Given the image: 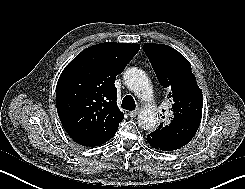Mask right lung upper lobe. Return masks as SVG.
Instances as JSON below:
<instances>
[{
	"label": "right lung upper lobe",
	"instance_id": "cb5924a9",
	"mask_svg": "<svg viewBox=\"0 0 245 189\" xmlns=\"http://www.w3.org/2000/svg\"><path fill=\"white\" fill-rule=\"evenodd\" d=\"M135 43H100L79 53L56 87L60 121L78 144L98 146L116 133L124 114L117 107L116 76L139 51Z\"/></svg>",
	"mask_w": 245,
	"mask_h": 189
}]
</instances>
